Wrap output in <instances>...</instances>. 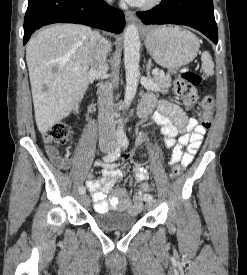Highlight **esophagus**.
I'll return each mask as SVG.
<instances>
[{"label":"esophagus","instance_id":"34e87169","mask_svg":"<svg viewBox=\"0 0 247 275\" xmlns=\"http://www.w3.org/2000/svg\"><path fill=\"white\" fill-rule=\"evenodd\" d=\"M125 18L127 21H135L136 20V17H135V13L132 12V11H126L125 12Z\"/></svg>","mask_w":247,"mask_h":275}]
</instances>
